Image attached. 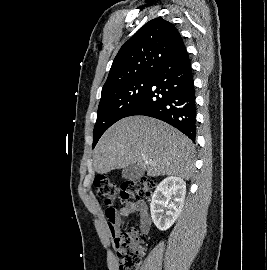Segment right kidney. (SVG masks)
I'll use <instances>...</instances> for the list:
<instances>
[{"instance_id": "1", "label": "right kidney", "mask_w": 267, "mask_h": 270, "mask_svg": "<svg viewBox=\"0 0 267 270\" xmlns=\"http://www.w3.org/2000/svg\"><path fill=\"white\" fill-rule=\"evenodd\" d=\"M185 195L186 183L180 177L169 176L159 183L150 204L152 221L159 230L169 229L177 220ZM164 208L168 209L165 213Z\"/></svg>"}]
</instances>
